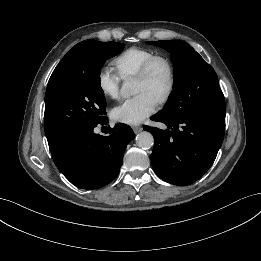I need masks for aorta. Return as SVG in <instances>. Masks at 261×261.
<instances>
[{
  "mask_svg": "<svg viewBox=\"0 0 261 261\" xmlns=\"http://www.w3.org/2000/svg\"><path fill=\"white\" fill-rule=\"evenodd\" d=\"M121 94L124 97H129L134 94L133 82L127 80L121 87ZM136 144L139 148L150 149L154 145V138L150 132L143 131L136 136Z\"/></svg>",
  "mask_w": 261,
  "mask_h": 261,
  "instance_id": "obj_1",
  "label": "aorta"
}]
</instances>
